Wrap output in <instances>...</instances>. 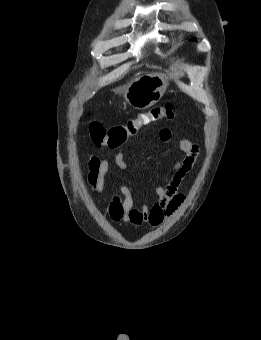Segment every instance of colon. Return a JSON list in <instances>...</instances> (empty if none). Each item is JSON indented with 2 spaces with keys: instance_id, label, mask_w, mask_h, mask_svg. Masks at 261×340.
I'll list each match as a JSON object with an SVG mask.
<instances>
[{
  "instance_id": "colon-1",
  "label": "colon",
  "mask_w": 261,
  "mask_h": 340,
  "mask_svg": "<svg viewBox=\"0 0 261 340\" xmlns=\"http://www.w3.org/2000/svg\"><path fill=\"white\" fill-rule=\"evenodd\" d=\"M174 115L173 105L164 103L112 127H105L98 121H91L88 127L89 135L96 146L116 148L136 136L142 127L162 120H171Z\"/></svg>"
}]
</instances>
